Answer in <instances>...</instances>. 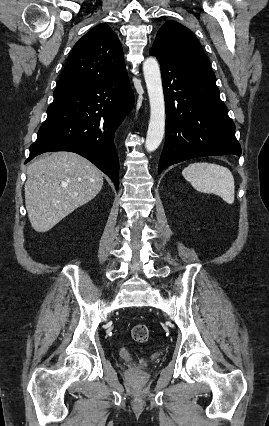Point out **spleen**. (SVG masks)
I'll return each instance as SVG.
<instances>
[{
    "label": "spleen",
    "instance_id": "obj_1",
    "mask_svg": "<svg viewBox=\"0 0 269 426\" xmlns=\"http://www.w3.org/2000/svg\"><path fill=\"white\" fill-rule=\"evenodd\" d=\"M182 175L197 191L213 193L233 204L235 183L228 168L213 163H193L182 171Z\"/></svg>",
    "mask_w": 269,
    "mask_h": 426
}]
</instances>
